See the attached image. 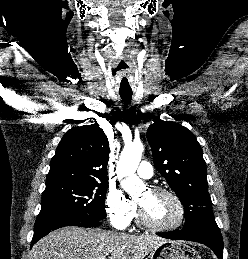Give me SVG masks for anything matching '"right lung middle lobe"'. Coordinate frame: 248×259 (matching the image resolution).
Returning <instances> with one entry per match:
<instances>
[{
  "label": "right lung middle lobe",
  "instance_id": "obj_1",
  "mask_svg": "<svg viewBox=\"0 0 248 259\" xmlns=\"http://www.w3.org/2000/svg\"><path fill=\"white\" fill-rule=\"evenodd\" d=\"M107 186V181L46 184L39 215L62 214L88 222L101 221L106 217Z\"/></svg>",
  "mask_w": 248,
  "mask_h": 259
}]
</instances>
